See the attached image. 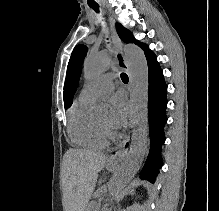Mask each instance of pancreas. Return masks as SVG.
<instances>
[{
  "label": "pancreas",
  "instance_id": "obj_1",
  "mask_svg": "<svg viewBox=\"0 0 219 211\" xmlns=\"http://www.w3.org/2000/svg\"><path fill=\"white\" fill-rule=\"evenodd\" d=\"M99 200H90L89 203H87V211H96V206L99 205Z\"/></svg>",
  "mask_w": 219,
  "mask_h": 211
}]
</instances>
